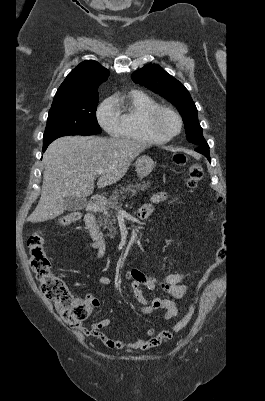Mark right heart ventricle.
<instances>
[{
    "instance_id": "right-heart-ventricle-1",
    "label": "right heart ventricle",
    "mask_w": 265,
    "mask_h": 401,
    "mask_svg": "<svg viewBox=\"0 0 265 401\" xmlns=\"http://www.w3.org/2000/svg\"><path fill=\"white\" fill-rule=\"evenodd\" d=\"M112 100L115 112L119 117L113 136L153 142L145 129L144 118L146 113L156 107L158 103L143 91L136 89L117 93Z\"/></svg>"
}]
</instances>
